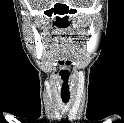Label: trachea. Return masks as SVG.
I'll use <instances>...</instances> for the list:
<instances>
[{
    "mask_svg": "<svg viewBox=\"0 0 124 123\" xmlns=\"http://www.w3.org/2000/svg\"><path fill=\"white\" fill-rule=\"evenodd\" d=\"M69 99H70V96H67V97L62 96V101L64 104H67L69 102Z\"/></svg>",
    "mask_w": 124,
    "mask_h": 123,
    "instance_id": "obj_1",
    "label": "trachea"
}]
</instances>
